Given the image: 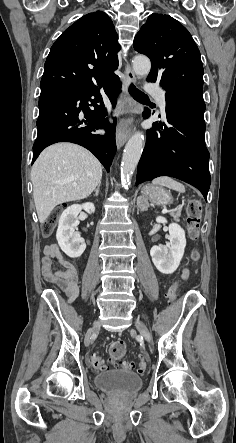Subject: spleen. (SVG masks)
I'll list each match as a JSON object with an SVG mask.
<instances>
[{
  "label": "spleen",
  "instance_id": "spleen-1",
  "mask_svg": "<svg viewBox=\"0 0 236 443\" xmlns=\"http://www.w3.org/2000/svg\"><path fill=\"white\" fill-rule=\"evenodd\" d=\"M153 184L160 185V186H166L170 189L176 190L181 193L185 192V187L183 184H181L180 182H177L176 180H174L170 177H167V176L155 178L153 180Z\"/></svg>",
  "mask_w": 236,
  "mask_h": 443
}]
</instances>
